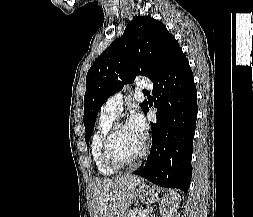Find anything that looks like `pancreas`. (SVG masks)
<instances>
[{
	"instance_id": "obj_1",
	"label": "pancreas",
	"mask_w": 253,
	"mask_h": 217,
	"mask_svg": "<svg viewBox=\"0 0 253 217\" xmlns=\"http://www.w3.org/2000/svg\"><path fill=\"white\" fill-rule=\"evenodd\" d=\"M139 213H140L139 209L130 210L128 213L125 214L124 217H138Z\"/></svg>"
}]
</instances>
